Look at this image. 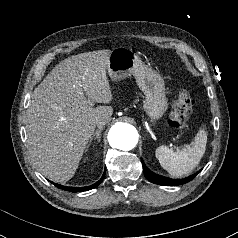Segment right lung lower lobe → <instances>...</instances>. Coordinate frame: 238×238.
Masks as SVG:
<instances>
[{"instance_id": "98d812e1", "label": "right lung lower lobe", "mask_w": 238, "mask_h": 238, "mask_svg": "<svg viewBox=\"0 0 238 238\" xmlns=\"http://www.w3.org/2000/svg\"><path fill=\"white\" fill-rule=\"evenodd\" d=\"M104 177H105V172H104L103 176L101 177V179L98 182H96L95 184H93L91 186H88V187H68V186H62V185H59V184H56V183H53V184L56 187L61 188V189L66 190V191L81 192V191H87V190H90V189H93V188L97 187L102 182Z\"/></svg>"}]
</instances>
